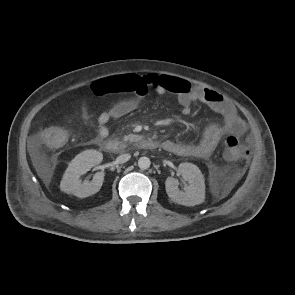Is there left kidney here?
I'll list each match as a JSON object with an SVG mask.
<instances>
[{"instance_id":"5707ae66","label":"left kidney","mask_w":295,"mask_h":295,"mask_svg":"<svg viewBox=\"0 0 295 295\" xmlns=\"http://www.w3.org/2000/svg\"><path fill=\"white\" fill-rule=\"evenodd\" d=\"M179 171L188 185L184 190L178 188L177 179L168 177L165 181L166 193L171 200L184 206H195L204 202L205 180L200 169L192 163H181Z\"/></svg>"}]
</instances>
